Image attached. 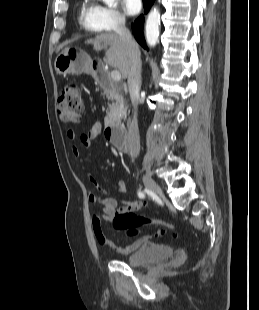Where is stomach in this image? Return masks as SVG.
Returning <instances> with one entry per match:
<instances>
[{
  "label": "stomach",
  "instance_id": "1",
  "mask_svg": "<svg viewBox=\"0 0 259 310\" xmlns=\"http://www.w3.org/2000/svg\"><path fill=\"white\" fill-rule=\"evenodd\" d=\"M55 69L62 75L89 73L90 57L78 48H65L55 60Z\"/></svg>",
  "mask_w": 259,
  "mask_h": 310
}]
</instances>
